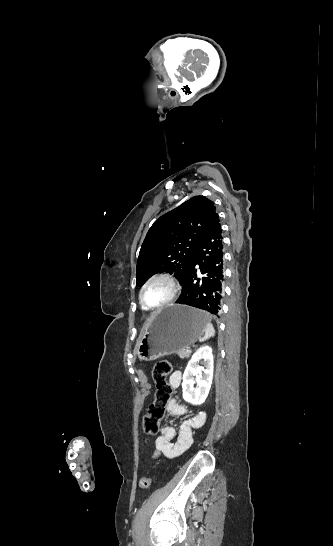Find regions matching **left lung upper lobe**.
Returning <instances> with one entry per match:
<instances>
[{"label": "left lung upper lobe", "mask_w": 333, "mask_h": 546, "mask_svg": "<svg viewBox=\"0 0 333 546\" xmlns=\"http://www.w3.org/2000/svg\"><path fill=\"white\" fill-rule=\"evenodd\" d=\"M218 217L214 203L195 196L157 219L141 246L136 285L159 272L174 273L180 284L191 266L196 246Z\"/></svg>", "instance_id": "1"}]
</instances>
